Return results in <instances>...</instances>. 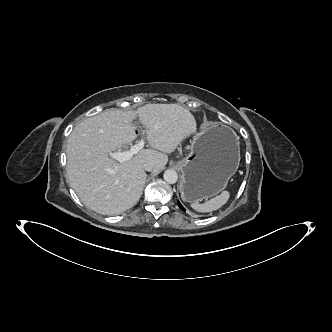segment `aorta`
Returning a JSON list of instances; mask_svg holds the SVG:
<instances>
[{
	"instance_id": "1",
	"label": "aorta",
	"mask_w": 332,
	"mask_h": 332,
	"mask_svg": "<svg viewBox=\"0 0 332 332\" xmlns=\"http://www.w3.org/2000/svg\"><path fill=\"white\" fill-rule=\"evenodd\" d=\"M163 178L167 183L174 184L178 180V174L175 170L168 169L164 172Z\"/></svg>"
}]
</instances>
